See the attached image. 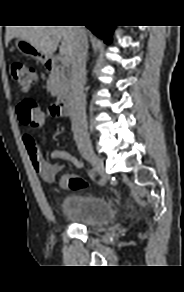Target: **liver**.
<instances>
[{"mask_svg":"<svg viewBox=\"0 0 184 292\" xmlns=\"http://www.w3.org/2000/svg\"><path fill=\"white\" fill-rule=\"evenodd\" d=\"M76 26H9L6 29V43L13 38L29 42L39 51L51 57L61 41L60 54L71 58L77 42Z\"/></svg>","mask_w":184,"mask_h":292,"instance_id":"1","label":"liver"}]
</instances>
